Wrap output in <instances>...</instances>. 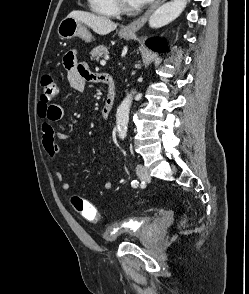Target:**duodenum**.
Masks as SVG:
<instances>
[{
	"label": "duodenum",
	"mask_w": 249,
	"mask_h": 294,
	"mask_svg": "<svg viewBox=\"0 0 249 294\" xmlns=\"http://www.w3.org/2000/svg\"><path fill=\"white\" fill-rule=\"evenodd\" d=\"M99 82L107 86L106 99L101 109V118L107 120L111 115L115 103V84L111 76L106 73L99 74Z\"/></svg>",
	"instance_id": "1"
}]
</instances>
